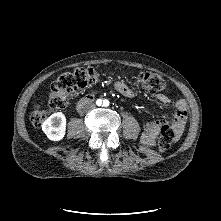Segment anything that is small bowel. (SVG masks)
<instances>
[{
    "label": "small bowel",
    "instance_id": "c3829d8e",
    "mask_svg": "<svg viewBox=\"0 0 221 221\" xmlns=\"http://www.w3.org/2000/svg\"><path fill=\"white\" fill-rule=\"evenodd\" d=\"M114 88L123 96L127 98H133L135 93L134 91L124 82L118 81L114 84ZM156 99L163 105H169L171 103L169 97L165 94H158L156 95ZM187 117V110H186V102L183 99H179L176 102V113L175 119L172 122L168 121H153L149 122L145 125L144 131L142 133V142L147 145L151 146L154 144L156 137L160 132V128L163 125L171 126L179 136L185 126V121Z\"/></svg>",
    "mask_w": 221,
    "mask_h": 221
}]
</instances>
